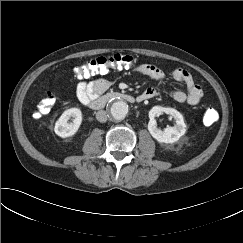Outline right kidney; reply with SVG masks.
Instances as JSON below:
<instances>
[{"mask_svg":"<svg viewBox=\"0 0 243 243\" xmlns=\"http://www.w3.org/2000/svg\"><path fill=\"white\" fill-rule=\"evenodd\" d=\"M70 118H73L71 123L68 122ZM81 122V110L79 108H70L65 110L56 121L54 131L58 136L62 138L70 137L78 131Z\"/></svg>","mask_w":243,"mask_h":243,"instance_id":"1","label":"right kidney"}]
</instances>
